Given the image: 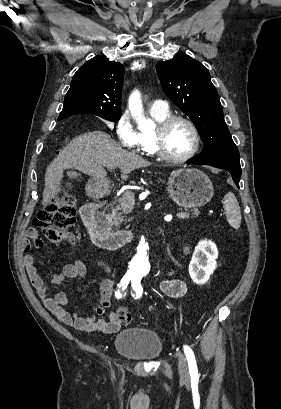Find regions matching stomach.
<instances>
[{
  "label": "stomach",
  "mask_w": 281,
  "mask_h": 409,
  "mask_svg": "<svg viewBox=\"0 0 281 409\" xmlns=\"http://www.w3.org/2000/svg\"><path fill=\"white\" fill-rule=\"evenodd\" d=\"M87 196L102 198L110 192L108 180L90 178L85 186ZM167 190L179 207L196 209L211 200L214 186L207 174L198 168H178L168 178Z\"/></svg>",
  "instance_id": "1"
}]
</instances>
